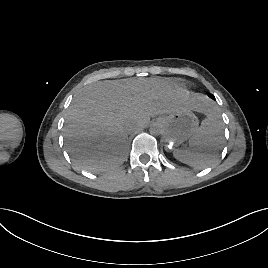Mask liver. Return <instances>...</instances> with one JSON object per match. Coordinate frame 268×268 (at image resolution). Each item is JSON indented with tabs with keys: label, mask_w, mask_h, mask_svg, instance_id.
<instances>
[{
	"label": "liver",
	"mask_w": 268,
	"mask_h": 268,
	"mask_svg": "<svg viewBox=\"0 0 268 268\" xmlns=\"http://www.w3.org/2000/svg\"><path fill=\"white\" fill-rule=\"evenodd\" d=\"M208 106L206 97L173 88L159 78L99 81L74 96L63 135L73 162L99 172L121 162L131 128L181 109L205 113Z\"/></svg>",
	"instance_id": "obj_1"
}]
</instances>
